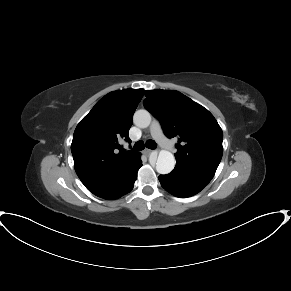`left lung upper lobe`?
<instances>
[{"instance_id": "5c2ea615", "label": "left lung upper lobe", "mask_w": 291, "mask_h": 291, "mask_svg": "<svg viewBox=\"0 0 291 291\" xmlns=\"http://www.w3.org/2000/svg\"><path fill=\"white\" fill-rule=\"evenodd\" d=\"M145 108L165 135L178 137L176 165L215 174L223 154V132L214 116L178 91L145 92Z\"/></svg>"}]
</instances>
